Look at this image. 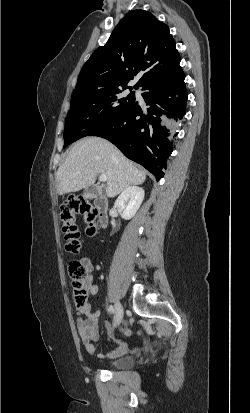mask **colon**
<instances>
[{
    "label": "colon",
    "instance_id": "colon-1",
    "mask_svg": "<svg viewBox=\"0 0 250 413\" xmlns=\"http://www.w3.org/2000/svg\"><path fill=\"white\" fill-rule=\"evenodd\" d=\"M80 215L87 224V234L94 236L97 233V211L84 198L73 196L68 198L61 206L62 229L65 238V247L69 253L79 254L81 251L80 233L76 224V217ZM70 277L73 280L74 302L78 308H83L88 302L87 280L89 273L80 261H73L69 265ZM123 333L130 336L131 329H122Z\"/></svg>",
    "mask_w": 250,
    "mask_h": 413
}]
</instances>
